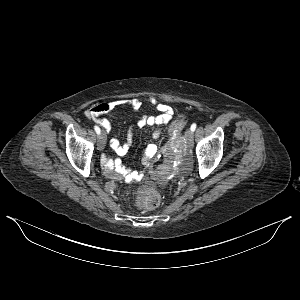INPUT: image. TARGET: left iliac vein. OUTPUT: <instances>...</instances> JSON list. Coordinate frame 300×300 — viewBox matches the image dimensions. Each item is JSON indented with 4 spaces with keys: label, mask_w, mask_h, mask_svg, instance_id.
<instances>
[{
    "label": "left iliac vein",
    "mask_w": 300,
    "mask_h": 300,
    "mask_svg": "<svg viewBox=\"0 0 300 300\" xmlns=\"http://www.w3.org/2000/svg\"><path fill=\"white\" fill-rule=\"evenodd\" d=\"M184 137H185L187 143L189 145H192V143H193V132L191 131V129H187L185 131Z\"/></svg>",
    "instance_id": "left-iliac-vein-1"
}]
</instances>
